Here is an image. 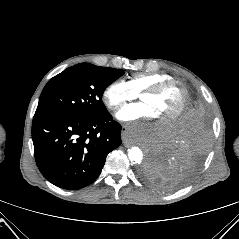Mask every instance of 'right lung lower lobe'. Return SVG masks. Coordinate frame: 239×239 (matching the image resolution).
I'll list each match as a JSON object with an SVG mask.
<instances>
[{"label":"right lung lower lobe","mask_w":239,"mask_h":239,"mask_svg":"<svg viewBox=\"0 0 239 239\" xmlns=\"http://www.w3.org/2000/svg\"><path fill=\"white\" fill-rule=\"evenodd\" d=\"M121 125L106 112L97 117L34 116L37 166L52 184L76 190L100 175L109 152L121 144Z\"/></svg>","instance_id":"right-lung-lower-lobe-1"}]
</instances>
